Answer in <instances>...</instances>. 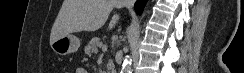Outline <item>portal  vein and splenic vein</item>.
Returning <instances> with one entry per match:
<instances>
[{"instance_id":"1","label":"portal vein and splenic vein","mask_w":244,"mask_h":73,"mask_svg":"<svg viewBox=\"0 0 244 73\" xmlns=\"http://www.w3.org/2000/svg\"><path fill=\"white\" fill-rule=\"evenodd\" d=\"M102 51H103V53H106L107 52V46H103Z\"/></svg>"}]
</instances>
